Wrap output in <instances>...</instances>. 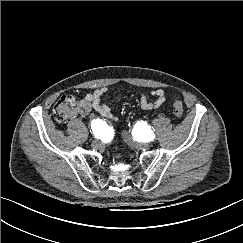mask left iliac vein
Returning <instances> with one entry per match:
<instances>
[{"label":"left iliac vein","instance_id":"obj_1","mask_svg":"<svg viewBox=\"0 0 243 243\" xmlns=\"http://www.w3.org/2000/svg\"><path fill=\"white\" fill-rule=\"evenodd\" d=\"M122 135H123L124 140H125L129 145H131V146H134V147H136V148H146V149L149 147V145L146 144V143H138V142H135V141L132 139L131 135H130L128 132H126V131H124V132L122 133Z\"/></svg>","mask_w":243,"mask_h":243}]
</instances>
